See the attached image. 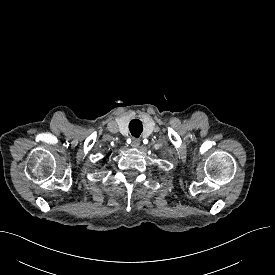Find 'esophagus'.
Here are the masks:
<instances>
[{
  "instance_id": "obj_1",
  "label": "esophagus",
  "mask_w": 275,
  "mask_h": 275,
  "mask_svg": "<svg viewBox=\"0 0 275 275\" xmlns=\"http://www.w3.org/2000/svg\"><path fill=\"white\" fill-rule=\"evenodd\" d=\"M140 143H141L140 139H138V138H133V139H132V144H131V145H132L133 147L137 148V147H139Z\"/></svg>"
}]
</instances>
